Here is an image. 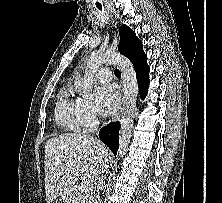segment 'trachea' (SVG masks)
Instances as JSON below:
<instances>
[{
    "label": "trachea",
    "instance_id": "trachea-1",
    "mask_svg": "<svg viewBox=\"0 0 222 203\" xmlns=\"http://www.w3.org/2000/svg\"><path fill=\"white\" fill-rule=\"evenodd\" d=\"M96 6H97L98 9H100V10L102 9V7H101L100 4H96ZM115 76H116V77H121V72H120V70H118V69L115 70Z\"/></svg>",
    "mask_w": 222,
    "mask_h": 203
}]
</instances>
